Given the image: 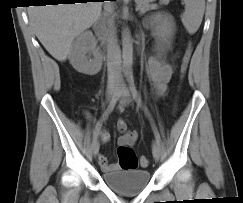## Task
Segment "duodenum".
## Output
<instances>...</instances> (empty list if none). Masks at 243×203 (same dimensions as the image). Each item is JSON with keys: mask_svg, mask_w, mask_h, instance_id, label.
<instances>
[{"mask_svg": "<svg viewBox=\"0 0 243 203\" xmlns=\"http://www.w3.org/2000/svg\"><path fill=\"white\" fill-rule=\"evenodd\" d=\"M93 30L98 36L102 35V33H103V22L101 20L97 21L95 23V25L93 26Z\"/></svg>", "mask_w": 243, "mask_h": 203, "instance_id": "1", "label": "duodenum"}]
</instances>
